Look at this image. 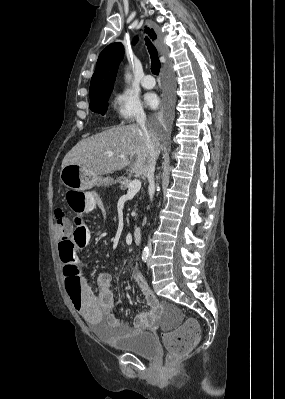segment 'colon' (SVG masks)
Wrapping results in <instances>:
<instances>
[{
	"label": "colon",
	"mask_w": 285,
	"mask_h": 399,
	"mask_svg": "<svg viewBox=\"0 0 285 399\" xmlns=\"http://www.w3.org/2000/svg\"><path fill=\"white\" fill-rule=\"evenodd\" d=\"M67 204L74 213L70 222V235L59 243V256L66 265L65 272L75 269L77 251L85 246L90 240L91 233L83 220V210L86 204V193L69 191L66 196ZM67 220L63 216L57 220L58 225ZM66 290L71 296L75 305L79 304L81 289L79 283L66 280ZM200 337V328L193 320H187L171 331L165 332L163 339L168 346L167 360L169 362L186 355L191 351Z\"/></svg>",
	"instance_id": "1"
}]
</instances>
